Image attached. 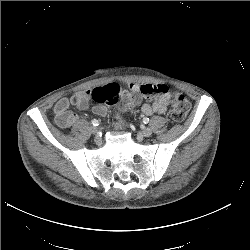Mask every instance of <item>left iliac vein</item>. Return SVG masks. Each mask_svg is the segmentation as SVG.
<instances>
[{"label": "left iliac vein", "instance_id": "4c4485c4", "mask_svg": "<svg viewBox=\"0 0 250 250\" xmlns=\"http://www.w3.org/2000/svg\"><path fill=\"white\" fill-rule=\"evenodd\" d=\"M142 135L145 137H150L152 135V130L150 128H145L142 130Z\"/></svg>", "mask_w": 250, "mask_h": 250}]
</instances>
